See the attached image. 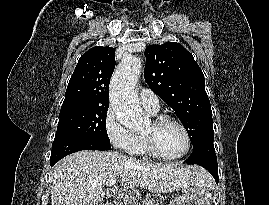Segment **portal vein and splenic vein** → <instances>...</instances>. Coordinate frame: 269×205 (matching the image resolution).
<instances>
[{
    "label": "portal vein and splenic vein",
    "mask_w": 269,
    "mask_h": 205,
    "mask_svg": "<svg viewBox=\"0 0 269 205\" xmlns=\"http://www.w3.org/2000/svg\"><path fill=\"white\" fill-rule=\"evenodd\" d=\"M116 182H117L116 178H113V179L108 180V181L106 182L105 185H106L107 187H111V186H113L114 184H116Z\"/></svg>",
    "instance_id": "portal-vein-and-splenic-vein-1"
}]
</instances>
